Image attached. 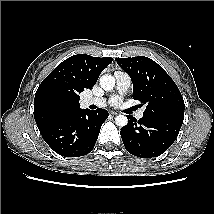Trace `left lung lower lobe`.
<instances>
[{
    "instance_id": "0a47b994",
    "label": "left lung lower lobe",
    "mask_w": 214,
    "mask_h": 214,
    "mask_svg": "<svg viewBox=\"0 0 214 214\" xmlns=\"http://www.w3.org/2000/svg\"><path fill=\"white\" fill-rule=\"evenodd\" d=\"M128 124L120 131L126 150L141 158L158 157L176 140L182 122L143 116H127Z\"/></svg>"
}]
</instances>
